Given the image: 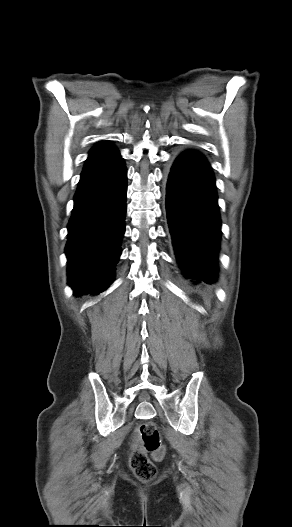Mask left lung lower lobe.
I'll return each instance as SVG.
<instances>
[{
	"label": "left lung lower lobe",
	"instance_id": "0a47b994",
	"mask_svg": "<svg viewBox=\"0 0 292 527\" xmlns=\"http://www.w3.org/2000/svg\"><path fill=\"white\" fill-rule=\"evenodd\" d=\"M166 209L185 276L195 284L214 282L221 222L214 176L200 153L186 151L176 158L168 176Z\"/></svg>",
	"mask_w": 292,
	"mask_h": 527
}]
</instances>
